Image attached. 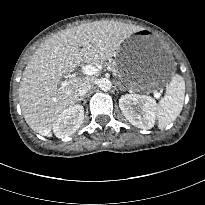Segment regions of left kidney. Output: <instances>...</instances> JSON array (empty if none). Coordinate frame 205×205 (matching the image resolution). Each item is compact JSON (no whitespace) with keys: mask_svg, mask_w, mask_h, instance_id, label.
Masks as SVG:
<instances>
[{"mask_svg":"<svg viewBox=\"0 0 205 205\" xmlns=\"http://www.w3.org/2000/svg\"><path fill=\"white\" fill-rule=\"evenodd\" d=\"M119 107L125 118L135 127L151 129L156 120V101L139 94H125L119 99Z\"/></svg>","mask_w":205,"mask_h":205,"instance_id":"5707ae66","label":"left kidney"}]
</instances>
